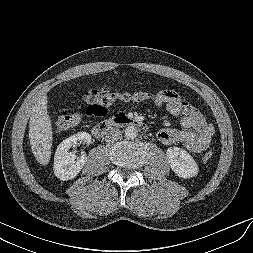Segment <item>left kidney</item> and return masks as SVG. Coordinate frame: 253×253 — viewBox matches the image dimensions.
Segmentation results:
<instances>
[{
    "label": "left kidney",
    "mask_w": 253,
    "mask_h": 253,
    "mask_svg": "<svg viewBox=\"0 0 253 253\" xmlns=\"http://www.w3.org/2000/svg\"><path fill=\"white\" fill-rule=\"evenodd\" d=\"M167 160L171 169L180 178H192L199 172L198 165L193 157L179 147H170L166 151Z\"/></svg>",
    "instance_id": "obj_1"
}]
</instances>
